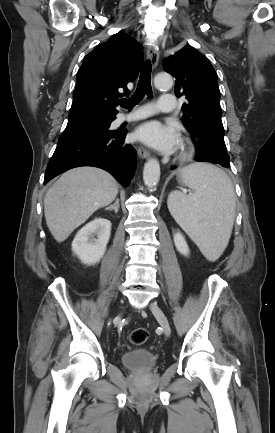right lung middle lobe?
Returning <instances> with one entry per match:
<instances>
[{"label":"right lung middle lobe","mask_w":275,"mask_h":433,"mask_svg":"<svg viewBox=\"0 0 275 433\" xmlns=\"http://www.w3.org/2000/svg\"><path fill=\"white\" fill-rule=\"evenodd\" d=\"M115 116H105V115H87L76 118H71L68 121L66 129L64 132L93 128L99 130L109 131L108 128L110 123L114 120Z\"/></svg>","instance_id":"1"}]
</instances>
